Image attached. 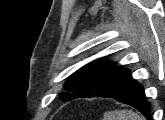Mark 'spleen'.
Here are the masks:
<instances>
[{"label":"spleen","mask_w":165,"mask_h":120,"mask_svg":"<svg viewBox=\"0 0 165 120\" xmlns=\"http://www.w3.org/2000/svg\"><path fill=\"white\" fill-rule=\"evenodd\" d=\"M104 120H143L132 110H115L104 113Z\"/></svg>","instance_id":"obj_1"}]
</instances>
